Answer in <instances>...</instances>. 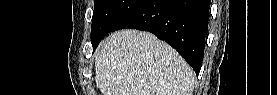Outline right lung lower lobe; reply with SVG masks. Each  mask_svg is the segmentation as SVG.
Here are the masks:
<instances>
[{
	"label": "right lung lower lobe",
	"instance_id": "1",
	"mask_svg": "<svg viewBox=\"0 0 277 95\" xmlns=\"http://www.w3.org/2000/svg\"><path fill=\"white\" fill-rule=\"evenodd\" d=\"M209 0H144L111 31L133 28L166 41L192 66H202Z\"/></svg>",
	"mask_w": 277,
	"mask_h": 95
}]
</instances>
